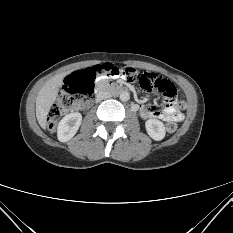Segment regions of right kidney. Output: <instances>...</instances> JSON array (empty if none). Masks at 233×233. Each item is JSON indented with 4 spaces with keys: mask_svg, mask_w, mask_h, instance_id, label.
<instances>
[{
    "mask_svg": "<svg viewBox=\"0 0 233 233\" xmlns=\"http://www.w3.org/2000/svg\"><path fill=\"white\" fill-rule=\"evenodd\" d=\"M82 122V115L79 112H73L64 116L57 128V137L61 142L69 141L78 131Z\"/></svg>",
    "mask_w": 233,
    "mask_h": 233,
    "instance_id": "ca27d5eb",
    "label": "right kidney"
}]
</instances>
